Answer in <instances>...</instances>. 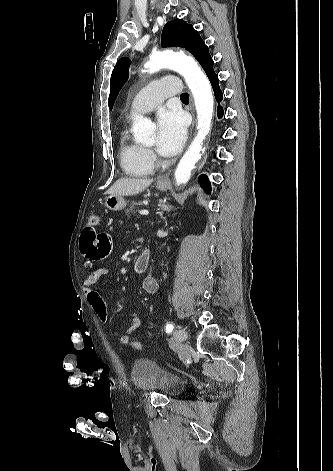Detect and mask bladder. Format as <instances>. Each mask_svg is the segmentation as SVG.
Listing matches in <instances>:
<instances>
[{"instance_id":"31cf9c89","label":"bladder","mask_w":333,"mask_h":471,"mask_svg":"<svg viewBox=\"0 0 333 471\" xmlns=\"http://www.w3.org/2000/svg\"><path fill=\"white\" fill-rule=\"evenodd\" d=\"M131 381L142 391H156L167 397L179 396L186 381L148 358L137 359L131 368Z\"/></svg>"}]
</instances>
